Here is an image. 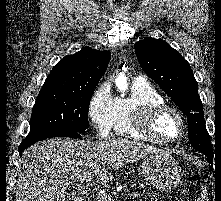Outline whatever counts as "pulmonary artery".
<instances>
[{
	"label": "pulmonary artery",
	"mask_w": 221,
	"mask_h": 201,
	"mask_svg": "<svg viewBox=\"0 0 221 201\" xmlns=\"http://www.w3.org/2000/svg\"><path fill=\"white\" fill-rule=\"evenodd\" d=\"M135 82H145V79L143 77H136Z\"/></svg>",
	"instance_id": "e3ab8cb5"
}]
</instances>
